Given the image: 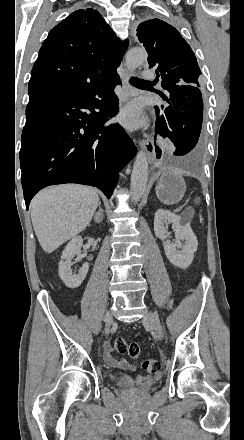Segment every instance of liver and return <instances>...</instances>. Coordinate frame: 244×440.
I'll return each instance as SVG.
<instances>
[{
    "instance_id": "1",
    "label": "liver",
    "mask_w": 244,
    "mask_h": 440,
    "mask_svg": "<svg viewBox=\"0 0 244 440\" xmlns=\"http://www.w3.org/2000/svg\"><path fill=\"white\" fill-rule=\"evenodd\" d=\"M99 206L92 188L63 184L50 186L31 202V220L38 242L47 254L83 232Z\"/></svg>"
}]
</instances>
